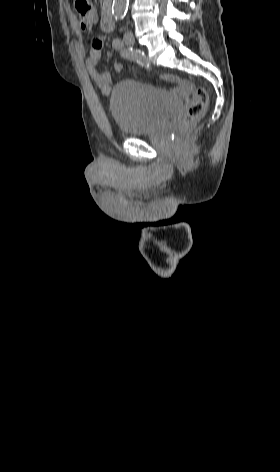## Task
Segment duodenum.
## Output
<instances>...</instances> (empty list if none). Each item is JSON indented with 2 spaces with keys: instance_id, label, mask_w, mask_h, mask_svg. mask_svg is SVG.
<instances>
[{
  "instance_id": "duodenum-1",
  "label": "duodenum",
  "mask_w": 280,
  "mask_h": 472,
  "mask_svg": "<svg viewBox=\"0 0 280 472\" xmlns=\"http://www.w3.org/2000/svg\"><path fill=\"white\" fill-rule=\"evenodd\" d=\"M101 27L105 32H111L114 29V21L111 15V8L109 3L105 5L103 10Z\"/></svg>"
}]
</instances>
